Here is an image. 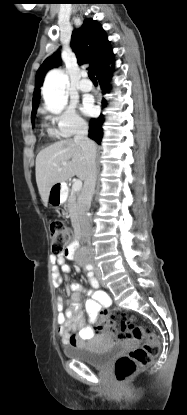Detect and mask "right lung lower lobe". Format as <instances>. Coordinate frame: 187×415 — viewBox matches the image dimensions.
I'll use <instances>...</instances> for the list:
<instances>
[{
	"label": "right lung lower lobe",
	"instance_id": "1",
	"mask_svg": "<svg viewBox=\"0 0 187 415\" xmlns=\"http://www.w3.org/2000/svg\"><path fill=\"white\" fill-rule=\"evenodd\" d=\"M114 60L113 57L105 64L100 71L96 74V77L99 81L102 93L105 94L109 92L111 85L108 83L112 77L113 72V65L110 67V64H113ZM106 105V100L102 99V106ZM104 122V117L101 114L97 119H91L90 121V128H89V137L95 140L98 144H100L101 139L103 137L102 131V124Z\"/></svg>",
	"mask_w": 187,
	"mask_h": 415
}]
</instances>
